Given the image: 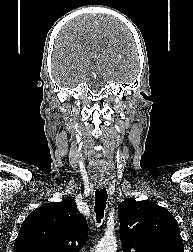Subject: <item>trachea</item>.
<instances>
[{
	"mask_svg": "<svg viewBox=\"0 0 193 252\" xmlns=\"http://www.w3.org/2000/svg\"><path fill=\"white\" fill-rule=\"evenodd\" d=\"M107 191L105 188L99 190L97 189L95 192V206L94 212L96 213V220L101 222L104 217V210L107 203Z\"/></svg>",
	"mask_w": 193,
	"mask_h": 252,
	"instance_id": "obj_1",
	"label": "trachea"
}]
</instances>
